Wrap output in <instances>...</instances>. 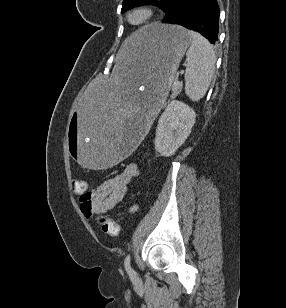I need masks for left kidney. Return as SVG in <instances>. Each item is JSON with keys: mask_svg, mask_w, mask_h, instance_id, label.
I'll return each mask as SVG.
<instances>
[{"mask_svg": "<svg viewBox=\"0 0 286 308\" xmlns=\"http://www.w3.org/2000/svg\"><path fill=\"white\" fill-rule=\"evenodd\" d=\"M196 113L187 104L173 100L158 121L155 150L169 157L185 142L195 123Z\"/></svg>", "mask_w": 286, "mask_h": 308, "instance_id": "left-kidney-1", "label": "left kidney"}]
</instances>
